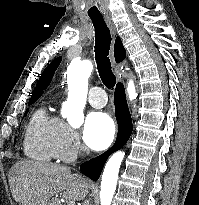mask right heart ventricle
Returning <instances> with one entry per match:
<instances>
[{
  "mask_svg": "<svg viewBox=\"0 0 199 205\" xmlns=\"http://www.w3.org/2000/svg\"><path fill=\"white\" fill-rule=\"evenodd\" d=\"M57 130L58 120L56 118L49 116L44 108L35 111L25 132L24 154L41 162H49L55 158Z\"/></svg>",
  "mask_w": 199,
  "mask_h": 205,
  "instance_id": "obj_1",
  "label": "right heart ventricle"
}]
</instances>
